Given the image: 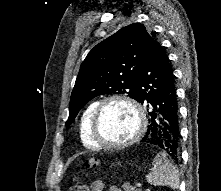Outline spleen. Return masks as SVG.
Listing matches in <instances>:
<instances>
[{"instance_id":"obj_1","label":"spleen","mask_w":221,"mask_h":191,"mask_svg":"<svg viewBox=\"0 0 221 191\" xmlns=\"http://www.w3.org/2000/svg\"><path fill=\"white\" fill-rule=\"evenodd\" d=\"M147 180L153 186H168L173 190L179 187L178 170L167 159L165 152H160L155 156Z\"/></svg>"}]
</instances>
